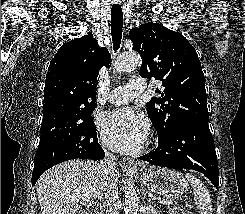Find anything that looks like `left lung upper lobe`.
<instances>
[{
	"mask_svg": "<svg viewBox=\"0 0 245 214\" xmlns=\"http://www.w3.org/2000/svg\"><path fill=\"white\" fill-rule=\"evenodd\" d=\"M142 58L140 75L162 81L161 97L146 104L158 139L166 140L192 121H208L205 78L194 47L179 32L148 22L130 32Z\"/></svg>",
	"mask_w": 245,
	"mask_h": 214,
	"instance_id": "5c2ea615",
	"label": "left lung upper lobe"
}]
</instances>
